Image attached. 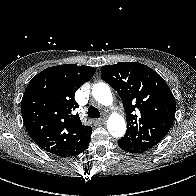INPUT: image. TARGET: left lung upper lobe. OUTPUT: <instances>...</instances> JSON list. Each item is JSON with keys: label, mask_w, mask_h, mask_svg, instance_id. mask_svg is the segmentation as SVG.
I'll return each mask as SVG.
<instances>
[{"label": "left lung upper lobe", "mask_w": 196, "mask_h": 196, "mask_svg": "<svg viewBox=\"0 0 196 196\" xmlns=\"http://www.w3.org/2000/svg\"><path fill=\"white\" fill-rule=\"evenodd\" d=\"M101 77L120 95L126 112L127 132L122 139L146 150L170 130L175 98L163 78L137 62H119L101 68Z\"/></svg>", "instance_id": "obj_1"}]
</instances>
